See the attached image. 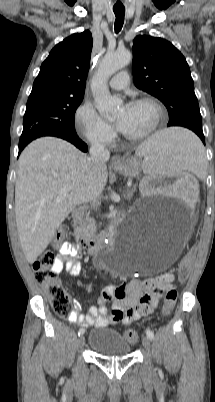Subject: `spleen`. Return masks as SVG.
Wrapping results in <instances>:
<instances>
[{"label": "spleen", "mask_w": 215, "mask_h": 402, "mask_svg": "<svg viewBox=\"0 0 215 402\" xmlns=\"http://www.w3.org/2000/svg\"><path fill=\"white\" fill-rule=\"evenodd\" d=\"M137 153L144 156L142 169L147 176L151 172L201 175L205 163L203 144L192 128H166L143 142Z\"/></svg>", "instance_id": "1"}]
</instances>
